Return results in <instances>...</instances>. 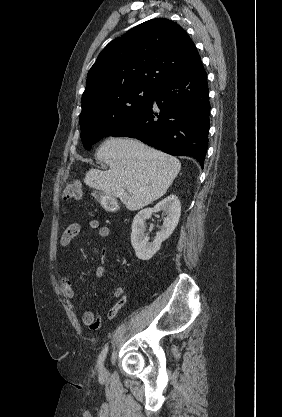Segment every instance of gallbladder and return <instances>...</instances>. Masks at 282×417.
I'll list each match as a JSON object with an SVG mask.
<instances>
[{
	"label": "gallbladder",
	"instance_id": "bac80fb5",
	"mask_svg": "<svg viewBox=\"0 0 282 417\" xmlns=\"http://www.w3.org/2000/svg\"><path fill=\"white\" fill-rule=\"evenodd\" d=\"M92 196H95L96 200H98V202H102V200H104L105 196H104V192H101V190H93V192H91Z\"/></svg>",
	"mask_w": 282,
	"mask_h": 417
}]
</instances>
